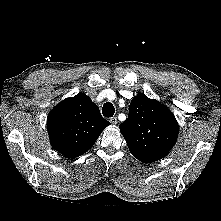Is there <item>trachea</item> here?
Masks as SVG:
<instances>
[{"instance_id":"obj_1","label":"trachea","mask_w":221,"mask_h":221,"mask_svg":"<svg viewBox=\"0 0 221 221\" xmlns=\"http://www.w3.org/2000/svg\"><path fill=\"white\" fill-rule=\"evenodd\" d=\"M102 113L105 117H113L115 108L112 103L106 102L102 107Z\"/></svg>"}]
</instances>
